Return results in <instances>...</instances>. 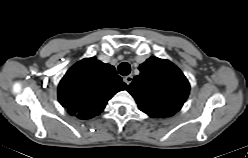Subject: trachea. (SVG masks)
I'll use <instances>...</instances> for the list:
<instances>
[{"label": "trachea", "mask_w": 248, "mask_h": 158, "mask_svg": "<svg viewBox=\"0 0 248 158\" xmlns=\"http://www.w3.org/2000/svg\"><path fill=\"white\" fill-rule=\"evenodd\" d=\"M118 71L121 75L126 76L131 71L130 65L127 62H122L118 67Z\"/></svg>", "instance_id": "trachea-1"}]
</instances>
